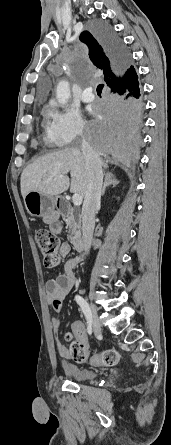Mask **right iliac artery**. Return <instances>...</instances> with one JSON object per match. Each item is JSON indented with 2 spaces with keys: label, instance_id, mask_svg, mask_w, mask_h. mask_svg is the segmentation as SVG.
I'll return each instance as SVG.
<instances>
[{
  "label": "right iliac artery",
  "instance_id": "1",
  "mask_svg": "<svg viewBox=\"0 0 171 445\" xmlns=\"http://www.w3.org/2000/svg\"><path fill=\"white\" fill-rule=\"evenodd\" d=\"M75 300H76L77 304L81 307V309H82V311H83V313H84V315H85V317H86L87 324H88V326H87V332H88L89 335H91V334H92V324H91V320H90L88 304H87V302H86L81 296H79V295H76V296H75Z\"/></svg>",
  "mask_w": 171,
  "mask_h": 445
}]
</instances>
